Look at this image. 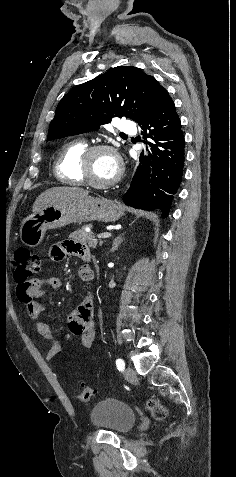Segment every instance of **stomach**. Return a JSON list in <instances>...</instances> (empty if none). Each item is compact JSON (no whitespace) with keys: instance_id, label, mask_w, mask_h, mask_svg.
I'll list each match as a JSON object with an SVG mask.
<instances>
[{"instance_id":"stomach-1","label":"stomach","mask_w":236,"mask_h":477,"mask_svg":"<svg viewBox=\"0 0 236 477\" xmlns=\"http://www.w3.org/2000/svg\"><path fill=\"white\" fill-rule=\"evenodd\" d=\"M124 210L119 203L105 198L86 196L49 205L24 218L20 224V239L28 247H37L48 229L61 228L72 223L114 222Z\"/></svg>"}]
</instances>
